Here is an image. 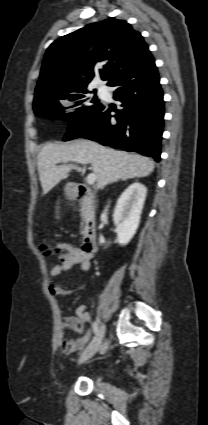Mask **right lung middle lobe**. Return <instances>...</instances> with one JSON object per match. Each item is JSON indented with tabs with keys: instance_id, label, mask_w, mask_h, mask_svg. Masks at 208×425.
I'll return each instance as SVG.
<instances>
[{
	"instance_id": "right-lung-middle-lobe-1",
	"label": "right lung middle lobe",
	"mask_w": 208,
	"mask_h": 425,
	"mask_svg": "<svg viewBox=\"0 0 208 425\" xmlns=\"http://www.w3.org/2000/svg\"><path fill=\"white\" fill-rule=\"evenodd\" d=\"M93 92H96V90ZM87 93L92 92L82 89L71 93L46 95L34 102V113L35 115L63 118L65 120H71L77 116L87 114L101 105L96 96L90 98L86 95ZM63 101L71 104L69 108L78 107L77 112L65 114L66 108L61 105Z\"/></svg>"
}]
</instances>
